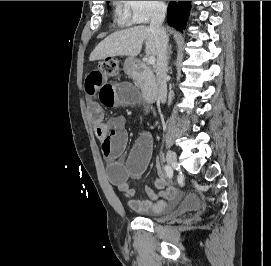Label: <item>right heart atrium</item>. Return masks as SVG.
Listing matches in <instances>:
<instances>
[{
  "mask_svg": "<svg viewBox=\"0 0 271 266\" xmlns=\"http://www.w3.org/2000/svg\"><path fill=\"white\" fill-rule=\"evenodd\" d=\"M127 19L132 24H146L153 17L163 13V1H123Z\"/></svg>",
  "mask_w": 271,
  "mask_h": 266,
  "instance_id": "right-heart-atrium-1",
  "label": "right heart atrium"
}]
</instances>
